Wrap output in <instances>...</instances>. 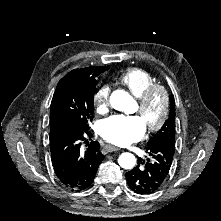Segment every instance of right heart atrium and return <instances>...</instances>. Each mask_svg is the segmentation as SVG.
<instances>
[{
    "label": "right heart atrium",
    "instance_id": "1",
    "mask_svg": "<svg viewBox=\"0 0 221 221\" xmlns=\"http://www.w3.org/2000/svg\"><path fill=\"white\" fill-rule=\"evenodd\" d=\"M110 88L104 84L96 89L93 95V106L98 112L105 111L109 106Z\"/></svg>",
    "mask_w": 221,
    "mask_h": 221
}]
</instances>
